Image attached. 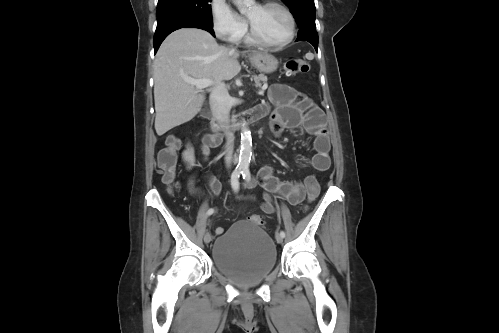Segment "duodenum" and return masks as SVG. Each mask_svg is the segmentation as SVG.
I'll return each mask as SVG.
<instances>
[{
  "mask_svg": "<svg viewBox=\"0 0 499 333\" xmlns=\"http://www.w3.org/2000/svg\"><path fill=\"white\" fill-rule=\"evenodd\" d=\"M265 116V111L259 107H254L246 111L234 114L229 123L223 124L215 120L212 121L214 136H220L227 132L238 131L244 126L255 123Z\"/></svg>",
  "mask_w": 499,
  "mask_h": 333,
  "instance_id": "obj_1",
  "label": "duodenum"
}]
</instances>
